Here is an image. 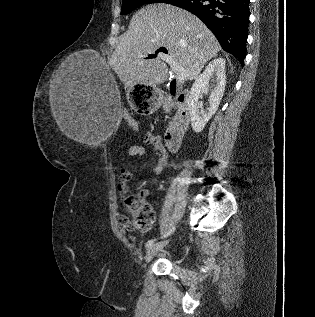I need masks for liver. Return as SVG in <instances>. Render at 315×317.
Segmentation results:
<instances>
[{"label": "liver", "mask_w": 315, "mask_h": 317, "mask_svg": "<svg viewBox=\"0 0 315 317\" xmlns=\"http://www.w3.org/2000/svg\"><path fill=\"white\" fill-rule=\"evenodd\" d=\"M159 47H165L168 54L145 59ZM219 50L213 33L196 16L173 5L159 3L148 5L133 15L109 65L125 87L154 86L168 78L164 56L173 58L188 73L187 79L193 80ZM69 66L70 61L66 60L61 70ZM112 101L118 105V97ZM69 102L70 99L60 100L57 89L52 90L51 110L59 129L68 138L83 142L82 121Z\"/></svg>", "instance_id": "1"}]
</instances>
